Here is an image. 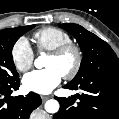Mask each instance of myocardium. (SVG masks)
<instances>
[{"label":"myocardium","mask_w":119,"mask_h":119,"mask_svg":"<svg viewBox=\"0 0 119 119\" xmlns=\"http://www.w3.org/2000/svg\"><path fill=\"white\" fill-rule=\"evenodd\" d=\"M68 53L74 54V65L69 71L65 72L62 76L65 79H72L77 75L82 65L83 54L80 47L77 44L70 42L63 44L49 52V54L54 57H63Z\"/></svg>","instance_id":"f54148a6"}]
</instances>
